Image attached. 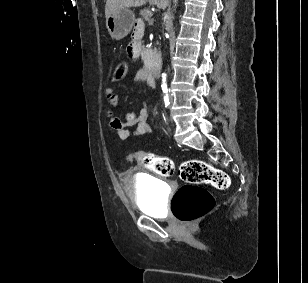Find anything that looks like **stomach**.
I'll list each match as a JSON object with an SVG mask.
<instances>
[{
	"mask_svg": "<svg viewBox=\"0 0 308 283\" xmlns=\"http://www.w3.org/2000/svg\"><path fill=\"white\" fill-rule=\"evenodd\" d=\"M134 21L133 11L129 8H120L106 18V27L111 38L121 40L130 33Z\"/></svg>",
	"mask_w": 308,
	"mask_h": 283,
	"instance_id": "obj_1",
	"label": "stomach"
}]
</instances>
